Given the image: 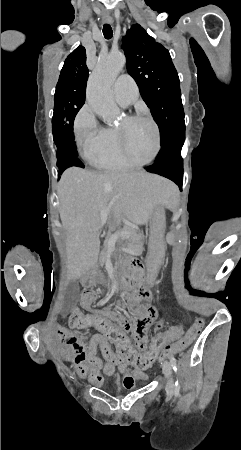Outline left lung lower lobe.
Wrapping results in <instances>:
<instances>
[{"label":"left lung lower lobe","instance_id":"left-lung-lower-lobe-1","mask_svg":"<svg viewBox=\"0 0 241 450\" xmlns=\"http://www.w3.org/2000/svg\"><path fill=\"white\" fill-rule=\"evenodd\" d=\"M185 137V129L171 134L162 146L156 162L145 169L148 172L162 175L174 181L179 188L183 184V159L181 149Z\"/></svg>","mask_w":241,"mask_h":450}]
</instances>
